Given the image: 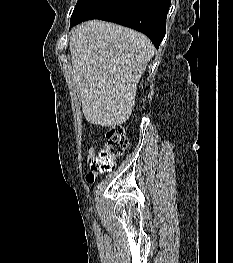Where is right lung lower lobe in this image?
<instances>
[{
	"label": "right lung lower lobe",
	"mask_w": 233,
	"mask_h": 263,
	"mask_svg": "<svg viewBox=\"0 0 233 263\" xmlns=\"http://www.w3.org/2000/svg\"><path fill=\"white\" fill-rule=\"evenodd\" d=\"M170 0H124L107 18L102 20L130 27L146 34L159 48L165 36ZM76 24H71L75 26Z\"/></svg>",
	"instance_id": "right-lung-lower-lobe-1"
}]
</instances>
